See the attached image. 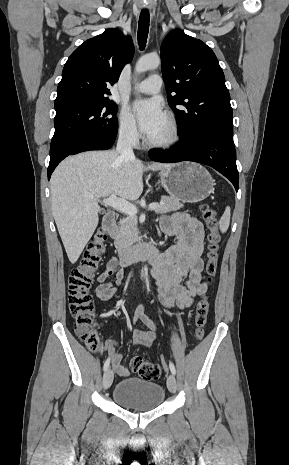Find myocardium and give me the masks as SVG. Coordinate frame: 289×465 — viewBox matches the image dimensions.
<instances>
[{
  "mask_svg": "<svg viewBox=\"0 0 289 465\" xmlns=\"http://www.w3.org/2000/svg\"><path fill=\"white\" fill-rule=\"evenodd\" d=\"M167 123V135L161 140L145 139V144L151 148L166 149L174 146L180 140V132L178 124L174 117L170 114H166Z\"/></svg>",
  "mask_w": 289,
  "mask_h": 465,
  "instance_id": "myocardium-1",
  "label": "myocardium"
}]
</instances>
